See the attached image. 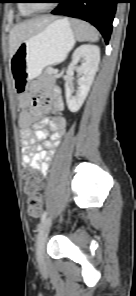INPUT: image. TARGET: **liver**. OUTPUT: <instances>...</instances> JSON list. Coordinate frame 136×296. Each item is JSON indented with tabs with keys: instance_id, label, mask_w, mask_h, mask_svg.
Segmentation results:
<instances>
[{
	"instance_id": "liver-1",
	"label": "liver",
	"mask_w": 136,
	"mask_h": 296,
	"mask_svg": "<svg viewBox=\"0 0 136 296\" xmlns=\"http://www.w3.org/2000/svg\"><path fill=\"white\" fill-rule=\"evenodd\" d=\"M54 17L42 16L35 19L26 20L17 24L11 31L9 35V51L10 57L14 55L19 45L31 37L32 35L41 31L46 27Z\"/></svg>"
}]
</instances>
